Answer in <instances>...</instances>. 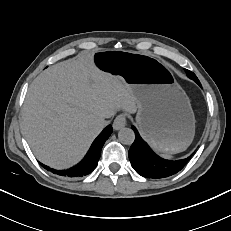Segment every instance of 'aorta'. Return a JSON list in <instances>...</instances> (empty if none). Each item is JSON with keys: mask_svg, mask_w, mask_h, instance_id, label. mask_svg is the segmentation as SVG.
<instances>
[{"mask_svg": "<svg viewBox=\"0 0 231 231\" xmlns=\"http://www.w3.org/2000/svg\"><path fill=\"white\" fill-rule=\"evenodd\" d=\"M118 139L122 144L130 145L135 140V133L130 128H122L118 133Z\"/></svg>", "mask_w": 231, "mask_h": 231, "instance_id": "aorta-1", "label": "aorta"}]
</instances>
